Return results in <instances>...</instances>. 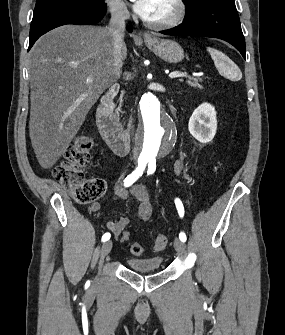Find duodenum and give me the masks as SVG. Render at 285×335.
<instances>
[{
	"instance_id": "410a0bca",
	"label": "duodenum",
	"mask_w": 285,
	"mask_h": 335,
	"mask_svg": "<svg viewBox=\"0 0 285 335\" xmlns=\"http://www.w3.org/2000/svg\"><path fill=\"white\" fill-rule=\"evenodd\" d=\"M119 85L114 84L102 96L97 108L98 129L108 146L118 155H127L131 147L130 132L123 128L113 112L114 99L119 92Z\"/></svg>"
}]
</instances>
